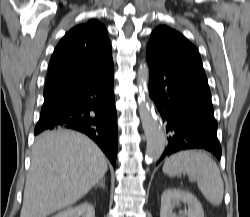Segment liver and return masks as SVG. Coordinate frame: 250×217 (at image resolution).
I'll use <instances>...</instances> for the list:
<instances>
[{
    "label": "liver",
    "mask_w": 250,
    "mask_h": 217,
    "mask_svg": "<svg viewBox=\"0 0 250 217\" xmlns=\"http://www.w3.org/2000/svg\"><path fill=\"white\" fill-rule=\"evenodd\" d=\"M107 159L87 136L59 129L37 137L20 217H47L69 207L105 175Z\"/></svg>",
    "instance_id": "6515ba94"
}]
</instances>
